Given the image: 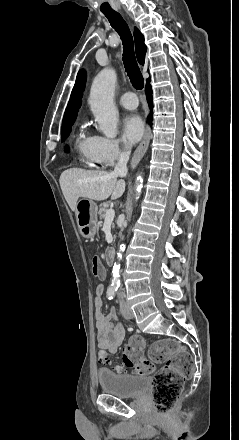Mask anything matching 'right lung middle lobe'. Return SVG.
Instances as JSON below:
<instances>
[{
	"label": "right lung middle lobe",
	"mask_w": 239,
	"mask_h": 440,
	"mask_svg": "<svg viewBox=\"0 0 239 440\" xmlns=\"http://www.w3.org/2000/svg\"><path fill=\"white\" fill-rule=\"evenodd\" d=\"M74 121L63 126L61 129V134H62V142L66 140V138L69 136L70 132H71V126L73 125Z\"/></svg>",
	"instance_id": "obj_1"
}]
</instances>
